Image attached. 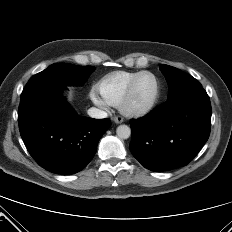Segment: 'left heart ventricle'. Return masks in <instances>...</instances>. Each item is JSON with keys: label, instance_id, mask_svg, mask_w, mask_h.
Listing matches in <instances>:
<instances>
[{"label": "left heart ventricle", "instance_id": "obj_1", "mask_svg": "<svg viewBox=\"0 0 232 232\" xmlns=\"http://www.w3.org/2000/svg\"><path fill=\"white\" fill-rule=\"evenodd\" d=\"M156 90L155 81L149 75L142 76L134 89L131 106L141 107L146 105L154 96Z\"/></svg>", "mask_w": 232, "mask_h": 232}]
</instances>
